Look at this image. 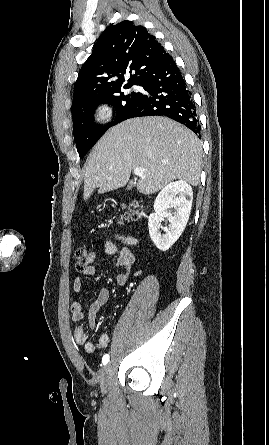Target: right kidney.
<instances>
[{
	"label": "right kidney",
	"instance_id": "ca27d5eb",
	"mask_svg": "<svg viewBox=\"0 0 269 445\" xmlns=\"http://www.w3.org/2000/svg\"><path fill=\"white\" fill-rule=\"evenodd\" d=\"M192 200V188L184 180L167 184L156 197L155 212L149 216L148 226L151 240L159 250L167 251L181 236L189 220ZM170 207L176 209L173 215L167 212ZM164 217L168 218V227L161 224Z\"/></svg>",
	"mask_w": 269,
	"mask_h": 445
}]
</instances>
